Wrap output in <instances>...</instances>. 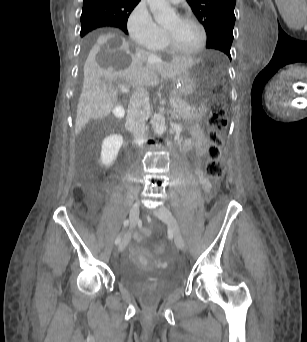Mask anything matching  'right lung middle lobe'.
I'll list each match as a JSON object with an SVG mask.
<instances>
[{
  "mask_svg": "<svg viewBox=\"0 0 307 342\" xmlns=\"http://www.w3.org/2000/svg\"><path fill=\"white\" fill-rule=\"evenodd\" d=\"M112 19L104 13L95 11H85L81 15V36L92 31L93 29L108 26L111 24ZM127 34L128 31H125Z\"/></svg>",
  "mask_w": 307,
  "mask_h": 342,
  "instance_id": "right-lung-middle-lobe-1",
  "label": "right lung middle lobe"
}]
</instances>
